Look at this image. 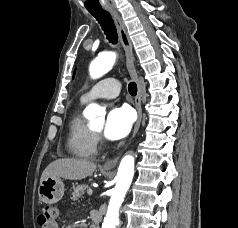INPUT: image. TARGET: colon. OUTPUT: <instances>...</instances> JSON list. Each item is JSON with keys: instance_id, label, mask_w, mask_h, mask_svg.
<instances>
[{"instance_id": "colon-1", "label": "colon", "mask_w": 238, "mask_h": 228, "mask_svg": "<svg viewBox=\"0 0 238 228\" xmlns=\"http://www.w3.org/2000/svg\"><path fill=\"white\" fill-rule=\"evenodd\" d=\"M59 216V209L56 206L42 208L38 216V224L41 228H48Z\"/></svg>"}]
</instances>
